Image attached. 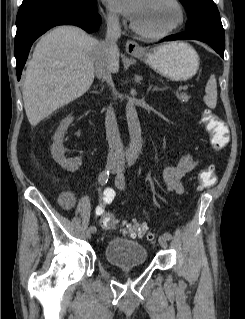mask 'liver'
Returning a JSON list of instances; mask_svg holds the SVG:
<instances>
[{"label": "liver", "mask_w": 245, "mask_h": 319, "mask_svg": "<svg viewBox=\"0 0 245 319\" xmlns=\"http://www.w3.org/2000/svg\"><path fill=\"white\" fill-rule=\"evenodd\" d=\"M104 57L102 43L76 26H58L41 37L28 63L22 91L31 126L82 96ZM109 69L118 72L119 56L109 62Z\"/></svg>", "instance_id": "6515ba94"}]
</instances>
